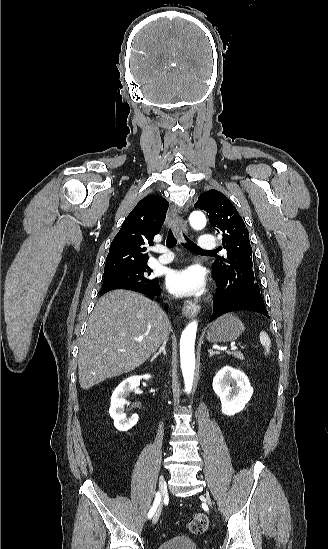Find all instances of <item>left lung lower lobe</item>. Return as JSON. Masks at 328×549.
Here are the masks:
<instances>
[{
    "label": "left lung lower lobe",
    "mask_w": 328,
    "mask_h": 549,
    "mask_svg": "<svg viewBox=\"0 0 328 549\" xmlns=\"http://www.w3.org/2000/svg\"><path fill=\"white\" fill-rule=\"evenodd\" d=\"M216 279V278H215ZM217 281V291L213 299V315L210 321L232 311H252L269 317L264 302L256 298L255 294L241 289L227 288Z\"/></svg>",
    "instance_id": "1"
}]
</instances>
